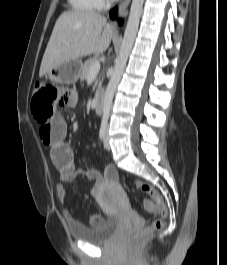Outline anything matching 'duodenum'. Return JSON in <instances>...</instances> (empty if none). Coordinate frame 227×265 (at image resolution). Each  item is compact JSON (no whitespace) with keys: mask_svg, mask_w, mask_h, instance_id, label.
Masks as SVG:
<instances>
[{"mask_svg":"<svg viewBox=\"0 0 227 265\" xmlns=\"http://www.w3.org/2000/svg\"><path fill=\"white\" fill-rule=\"evenodd\" d=\"M103 110V99L101 95H98L94 101V111L97 115H101Z\"/></svg>","mask_w":227,"mask_h":265,"instance_id":"obj_1","label":"duodenum"}]
</instances>
